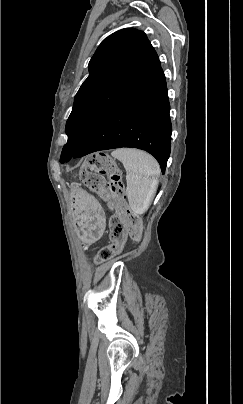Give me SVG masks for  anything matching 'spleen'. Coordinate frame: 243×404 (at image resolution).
Wrapping results in <instances>:
<instances>
[{
	"label": "spleen",
	"instance_id": "3e777b00",
	"mask_svg": "<svg viewBox=\"0 0 243 404\" xmlns=\"http://www.w3.org/2000/svg\"><path fill=\"white\" fill-rule=\"evenodd\" d=\"M111 156L122 162L126 172V194L135 216L145 214L155 194L160 168L153 156L136 148H118Z\"/></svg>",
	"mask_w": 243,
	"mask_h": 404
}]
</instances>
